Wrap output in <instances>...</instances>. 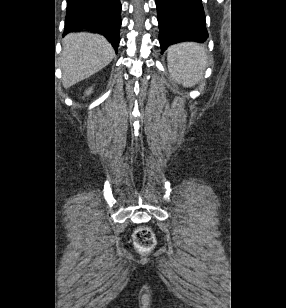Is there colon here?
<instances>
[{"label": "colon", "instance_id": "1", "mask_svg": "<svg viewBox=\"0 0 286 308\" xmlns=\"http://www.w3.org/2000/svg\"><path fill=\"white\" fill-rule=\"evenodd\" d=\"M133 241L141 251H147L155 246L156 239L153 231L145 226L139 227L133 234Z\"/></svg>", "mask_w": 286, "mask_h": 308}]
</instances>
